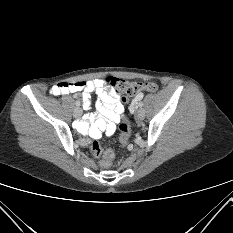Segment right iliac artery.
Returning a JSON list of instances; mask_svg holds the SVG:
<instances>
[{"label": "right iliac artery", "instance_id": "1", "mask_svg": "<svg viewBox=\"0 0 233 233\" xmlns=\"http://www.w3.org/2000/svg\"><path fill=\"white\" fill-rule=\"evenodd\" d=\"M75 104H76L77 107L80 106V102L79 101H76Z\"/></svg>", "mask_w": 233, "mask_h": 233}]
</instances>
